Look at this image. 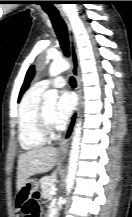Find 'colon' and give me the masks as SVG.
I'll list each match as a JSON object with an SVG mask.
<instances>
[{
    "mask_svg": "<svg viewBox=\"0 0 132 217\" xmlns=\"http://www.w3.org/2000/svg\"><path fill=\"white\" fill-rule=\"evenodd\" d=\"M25 212L28 214V217H39L40 205L37 194H33L26 200Z\"/></svg>",
    "mask_w": 132,
    "mask_h": 217,
    "instance_id": "5ec220e1",
    "label": "colon"
}]
</instances>
